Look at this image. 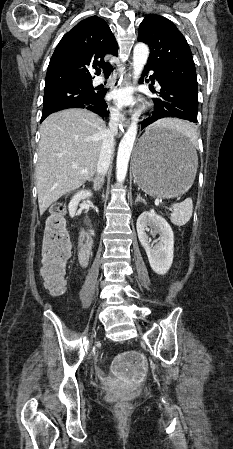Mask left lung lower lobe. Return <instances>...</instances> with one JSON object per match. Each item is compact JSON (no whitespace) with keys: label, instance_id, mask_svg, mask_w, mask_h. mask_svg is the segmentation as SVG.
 Masks as SVG:
<instances>
[{"label":"left lung lower lobe","instance_id":"1","mask_svg":"<svg viewBox=\"0 0 233 449\" xmlns=\"http://www.w3.org/2000/svg\"><path fill=\"white\" fill-rule=\"evenodd\" d=\"M149 70L154 71V75L150 77L151 81L154 83V79H156L161 86V90L159 92V97L154 99V111L149 118L143 120L141 129H144L153 122L165 117H176L196 123L198 94L191 92L169 78L164 77L148 65H146L142 77L146 76ZM152 141L179 142L181 141V138L176 134H157L152 137Z\"/></svg>","mask_w":233,"mask_h":449}]
</instances>
